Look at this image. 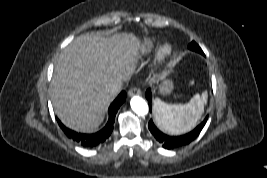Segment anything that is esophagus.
I'll use <instances>...</instances> for the list:
<instances>
[{"label": "esophagus", "instance_id": "1", "mask_svg": "<svg viewBox=\"0 0 267 178\" xmlns=\"http://www.w3.org/2000/svg\"><path fill=\"white\" fill-rule=\"evenodd\" d=\"M141 91L139 88L137 87H133L128 91V95L129 96H133V95H140Z\"/></svg>", "mask_w": 267, "mask_h": 178}]
</instances>
